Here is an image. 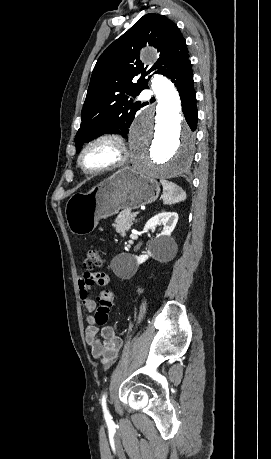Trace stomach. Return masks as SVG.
<instances>
[{"label":"stomach","mask_w":271,"mask_h":459,"mask_svg":"<svg viewBox=\"0 0 271 459\" xmlns=\"http://www.w3.org/2000/svg\"><path fill=\"white\" fill-rule=\"evenodd\" d=\"M159 194L156 180L125 166L88 194L71 196L65 208L68 228L77 235H86L96 228L101 218L114 216L119 210H135L152 204Z\"/></svg>","instance_id":"stomach-1"}]
</instances>
